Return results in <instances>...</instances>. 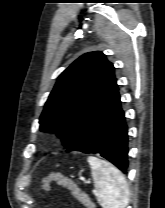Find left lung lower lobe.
Segmentation results:
<instances>
[{
  "mask_svg": "<svg viewBox=\"0 0 165 208\" xmlns=\"http://www.w3.org/2000/svg\"><path fill=\"white\" fill-rule=\"evenodd\" d=\"M66 151L98 153L123 173L127 172L128 129L121 107L118 86L89 117Z\"/></svg>",
  "mask_w": 165,
  "mask_h": 208,
  "instance_id": "obj_1",
  "label": "left lung lower lobe"
}]
</instances>
